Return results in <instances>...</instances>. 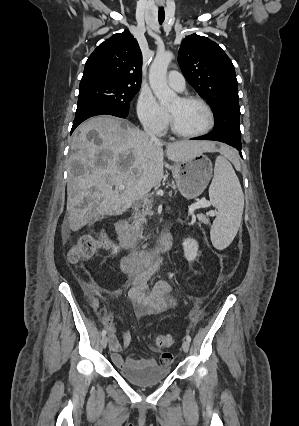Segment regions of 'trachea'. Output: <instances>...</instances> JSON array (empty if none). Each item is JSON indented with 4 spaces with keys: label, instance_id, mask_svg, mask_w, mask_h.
Listing matches in <instances>:
<instances>
[{
    "label": "trachea",
    "instance_id": "3493384b",
    "mask_svg": "<svg viewBox=\"0 0 299 426\" xmlns=\"http://www.w3.org/2000/svg\"><path fill=\"white\" fill-rule=\"evenodd\" d=\"M164 19H165L164 8H159V11H158V21H159V23L162 24L163 21H164Z\"/></svg>",
    "mask_w": 299,
    "mask_h": 426
}]
</instances>
